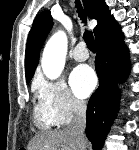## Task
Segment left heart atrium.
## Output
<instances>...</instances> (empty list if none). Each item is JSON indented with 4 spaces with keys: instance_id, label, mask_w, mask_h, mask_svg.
I'll return each instance as SVG.
<instances>
[{
    "instance_id": "39dd6f15",
    "label": "left heart atrium",
    "mask_w": 139,
    "mask_h": 150,
    "mask_svg": "<svg viewBox=\"0 0 139 150\" xmlns=\"http://www.w3.org/2000/svg\"><path fill=\"white\" fill-rule=\"evenodd\" d=\"M96 76L88 66L75 68L70 77V84L74 94L79 98L88 97L96 86Z\"/></svg>"
}]
</instances>
